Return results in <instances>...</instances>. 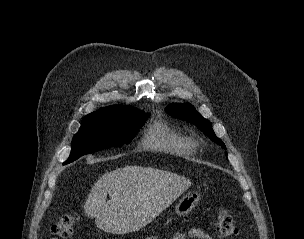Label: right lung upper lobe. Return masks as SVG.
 Listing matches in <instances>:
<instances>
[{
	"label": "right lung upper lobe",
	"mask_w": 304,
	"mask_h": 239,
	"mask_svg": "<svg viewBox=\"0 0 304 239\" xmlns=\"http://www.w3.org/2000/svg\"><path fill=\"white\" fill-rule=\"evenodd\" d=\"M130 109H136V108L131 107V106L113 105V106H109V107L100 108L96 112L88 114L86 117H91V116H117V115H121V114L127 112Z\"/></svg>",
	"instance_id": "1"
}]
</instances>
